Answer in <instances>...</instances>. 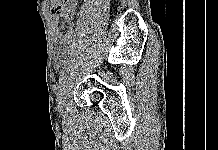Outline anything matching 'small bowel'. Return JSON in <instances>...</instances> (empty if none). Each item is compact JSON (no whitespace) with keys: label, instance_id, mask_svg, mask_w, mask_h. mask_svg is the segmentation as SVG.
I'll return each instance as SVG.
<instances>
[{"label":"small bowel","instance_id":"c3829d8e","mask_svg":"<svg viewBox=\"0 0 218 150\" xmlns=\"http://www.w3.org/2000/svg\"><path fill=\"white\" fill-rule=\"evenodd\" d=\"M76 0H68L65 8L59 12H53V33L57 44L74 46L75 34L72 30L62 31L59 26L60 18L69 23L72 19ZM66 52L62 46L58 47L55 52L57 63H61L65 58Z\"/></svg>","mask_w":218,"mask_h":150}]
</instances>
